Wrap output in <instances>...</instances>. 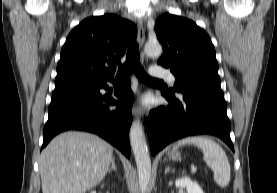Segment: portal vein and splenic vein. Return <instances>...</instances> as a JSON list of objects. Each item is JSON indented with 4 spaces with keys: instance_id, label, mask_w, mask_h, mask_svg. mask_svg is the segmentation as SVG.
I'll use <instances>...</instances> for the list:
<instances>
[{
    "instance_id": "1",
    "label": "portal vein and splenic vein",
    "mask_w": 277,
    "mask_h": 193,
    "mask_svg": "<svg viewBox=\"0 0 277 193\" xmlns=\"http://www.w3.org/2000/svg\"><path fill=\"white\" fill-rule=\"evenodd\" d=\"M196 171H197V167H196V166H193V167L191 168V172L194 173V172H196Z\"/></svg>"
}]
</instances>
